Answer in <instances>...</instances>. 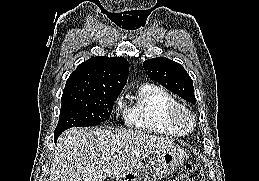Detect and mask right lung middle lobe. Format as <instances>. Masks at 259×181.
I'll return each mask as SVG.
<instances>
[{
	"label": "right lung middle lobe",
	"instance_id": "dd1d6c3e",
	"mask_svg": "<svg viewBox=\"0 0 259 181\" xmlns=\"http://www.w3.org/2000/svg\"><path fill=\"white\" fill-rule=\"evenodd\" d=\"M118 94L63 91L54 137L70 127H89L107 120Z\"/></svg>",
	"mask_w": 259,
	"mask_h": 181
}]
</instances>
